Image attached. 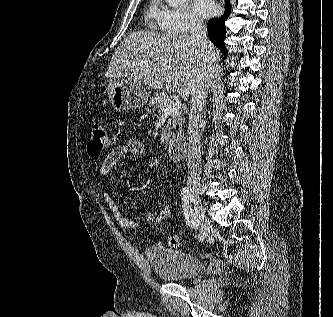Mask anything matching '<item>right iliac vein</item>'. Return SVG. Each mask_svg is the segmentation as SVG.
Here are the masks:
<instances>
[{
  "mask_svg": "<svg viewBox=\"0 0 333 317\" xmlns=\"http://www.w3.org/2000/svg\"><path fill=\"white\" fill-rule=\"evenodd\" d=\"M190 199L194 204L201 233L206 237L211 231V224L206 216L199 192L197 190H191Z\"/></svg>",
  "mask_w": 333,
  "mask_h": 317,
  "instance_id": "1",
  "label": "right iliac vein"
}]
</instances>
